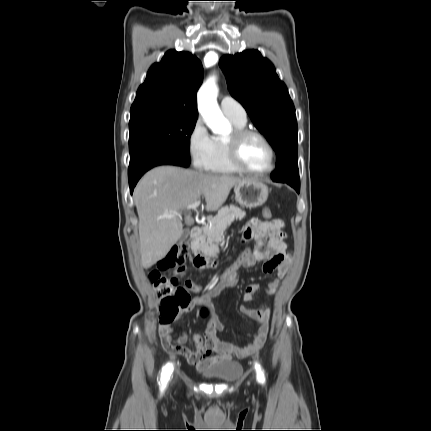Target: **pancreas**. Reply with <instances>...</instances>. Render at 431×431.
Masks as SVG:
<instances>
[{"instance_id":"obj_1","label":"pancreas","mask_w":431,"mask_h":431,"mask_svg":"<svg viewBox=\"0 0 431 431\" xmlns=\"http://www.w3.org/2000/svg\"><path fill=\"white\" fill-rule=\"evenodd\" d=\"M245 216L246 213L237 206L221 208L216 216L208 219V225L203 227V235L199 239L200 251L207 257L216 256L224 231L234 220H242Z\"/></svg>"}]
</instances>
